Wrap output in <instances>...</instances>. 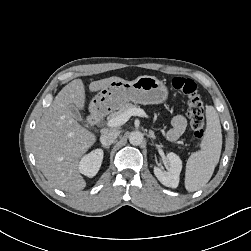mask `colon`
Returning <instances> with one entry per match:
<instances>
[{
    "instance_id": "5ec220e1",
    "label": "colon",
    "mask_w": 251,
    "mask_h": 251,
    "mask_svg": "<svg viewBox=\"0 0 251 251\" xmlns=\"http://www.w3.org/2000/svg\"><path fill=\"white\" fill-rule=\"evenodd\" d=\"M172 87L187 98L188 115L194 135L199 140L205 135L204 104L197 91L196 83L192 79L174 77Z\"/></svg>"
}]
</instances>
